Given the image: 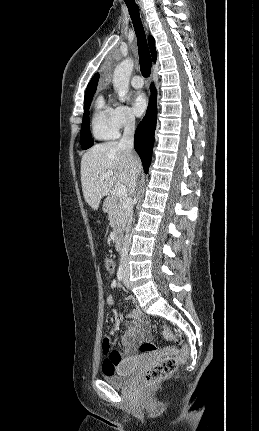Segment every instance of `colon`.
Wrapping results in <instances>:
<instances>
[{
  "label": "colon",
  "instance_id": "5ec220e1",
  "mask_svg": "<svg viewBox=\"0 0 259 431\" xmlns=\"http://www.w3.org/2000/svg\"><path fill=\"white\" fill-rule=\"evenodd\" d=\"M105 268L108 273L112 274L115 270L114 261L107 258L105 261ZM160 333L165 340L173 341L177 345H180V349L178 350L173 347L160 348L150 342H144L140 345L139 350L142 353L160 352L165 355L159 363L150 367L144 373L143 382L146 385H152L166 379L177 370L179 365L186 361L189 355V347L185 344L184 336L181 333L173 330L167 325L160 326ZM102 350L104 355L108 354L111 350L110 342L104 340L102 343ZM105 372H112V370L107 369Z\"/></svg>",
  "mask_w": 259,
  "mask_h": 431
}]
</instances>
